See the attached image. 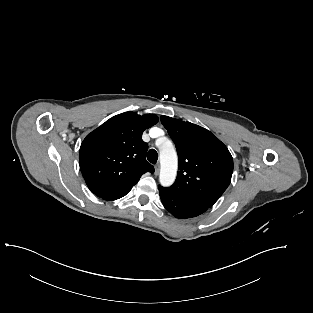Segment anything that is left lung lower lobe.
Masks as SVG:
<instances>
[{
  "label": "left lung lower lobe",
  "instance_id": "1",
  "mask_svg": "<svg viewBox=\"0 0 313 313\" xmlns=\"http://www.w3.org/2000/svg\"><path fill=\"white\" fill-rule=\"evenodd\" d=\"M158 189L163 206L177 218L183 219L196 217L208 209L206 207L184 201L172 195L161 186H158Z\"/></svg>",
  "mask_w": 313,
  "mask_h": 313
}]
</instances>
